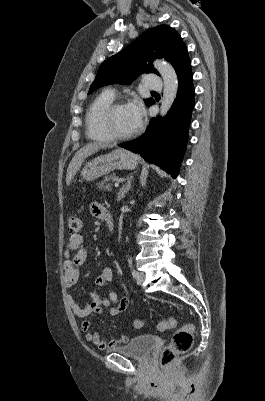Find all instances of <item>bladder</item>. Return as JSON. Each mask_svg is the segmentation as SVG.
Segmentation results:
<instances>
[{
    "instance_id": "1",
    "label": "bladder",
    "mask_w": 265,
    "mask_h": 401,
    "mask_svg": "<svg viewBox=\"0 0 265 401\" xmlns=\"http://www.w3.org/2000/svg\"><path fill=\"white\" fill-rule=\"evenodd\" d=\"M155 346V340L149 335L135 336L125 346L110 349L111 351L120 352L123 356L135 358H147L150 350Z\"/></svg>"
}]
</instances>
